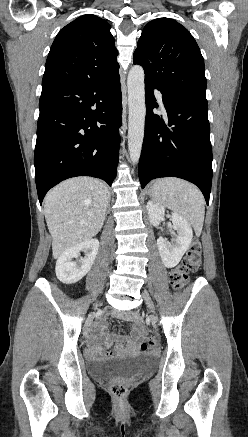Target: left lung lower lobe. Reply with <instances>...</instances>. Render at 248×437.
Returning a JSON list of instances; mask_svg holds the SVG:
<instances>
[{"label":"left lung lower lobe","instance_id":"obj_1","mask_svg":"<svg viewBox=\"0 0 248 437\" xmlns=\"http://www.w3.org/2000/svg\"><path fill=\"white\" fill-rule=\"evenodd\" d=\"M154 84L145 81L146 119L139 161L141 187L155 178L179 177L197 185L209 203L212 147L207 100L170 95L162 90L165 122L153 113Z\"/></svg>","mask_w":248,"mask_h":437}]
</instances>
